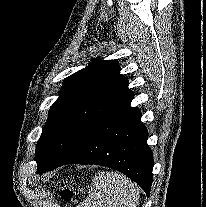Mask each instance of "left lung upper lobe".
<instances>
[{
  "label": "left lung upper lobe",
  "mask_w": 206,
  "mask_h": 207,
  "mask_svg": "<svg viewBox=\"0 0 206 207\" xmlns=\"http://www.w3.org/2000/svg\"><path fill=\"white\" fill-rule=\"evenodd\" d=\"M119 71L117 61L97 59L65 79L37 144L40 171L70 157L100 117L129 90Z\"/></svg>",
  "instance_id": "obj_1"
}]
</instances>
